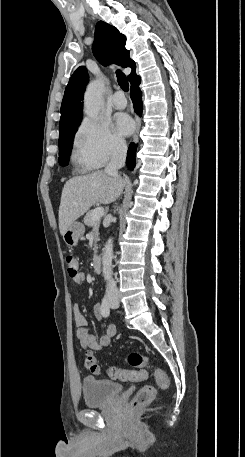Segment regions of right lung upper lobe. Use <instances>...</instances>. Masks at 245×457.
Returning <instances> with one entry per match:
<instances>
[{
  "mask_svg": "<svg viewBox=\"0 0 245 457\" xmlns=\"http://www.w3.org/2000/svg\"><path fill=\"white\" fill-rule=\"evenodd\" d=\"M126 38L114 26L99 21L95 28V40L92 46L93 54L103 65L116 63L122 67H131L128 80L137 77L135 62L129 58L125 48ZM89 76L84 66H79L71 76L65 89L61 104L59 127L82 120L83 96Z\"/></svg>",
  "mask_w": 245,
  "mask_h": 457,
  "instance_id": "cb5924a9",
  "label": "right lung upper lobe"
}]
</instances>
